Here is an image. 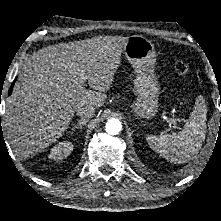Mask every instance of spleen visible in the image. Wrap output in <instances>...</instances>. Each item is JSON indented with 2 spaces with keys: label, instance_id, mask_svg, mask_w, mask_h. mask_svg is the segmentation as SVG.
<instances>
[{
  "label": "spleen",
  "instance_id": "obj_1",
  "mask_svg": "<svg viewBox=\"0 0 221 221\" xmlns=\"http://www.w3.org/2000/svg\"><path fill=\"white\" fill-rule=\"evenodd\" d=\"M206 106L200 97L181 132L147 136L150 148L173 163H186L195 157L206 135Z\"/></svg>",
  "mask_w": 221,
  "mask_h": 221
}]
</instances>
